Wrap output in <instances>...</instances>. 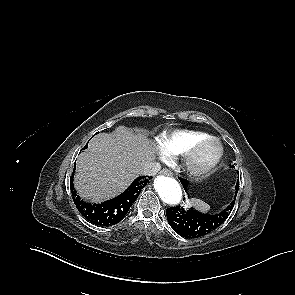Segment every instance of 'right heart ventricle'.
I'll return each mask as SVG.
<instances>
[{
    "label": "right heart ventricle",
    "instance_id": "1",
    "mask_svg": "<svg viewBox=\"0 0 295 295\" xmlns=\"http://www.w3.org/2000/svg\"><path fill=\"white\" fill-rule=\"evenodd\" d=\"M209 137L207 133L190 130H177L159 139L161 150L168 156L184 155L196 142Z\"/></svg>",
    "mask_w": 295,
    "mask_h": 295
}]
</instances>
